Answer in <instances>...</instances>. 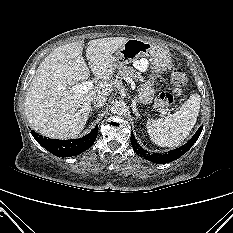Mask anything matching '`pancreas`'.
Masks as SVG:
<instances>
[{
	"label": "pancreas",
	"mask_w": 233,
	"mask_h": 233,
	"mask_svg": "<svg viewBox=\"0 0 233 233\" xmlns=\"http://www.w3.org/2000/svg\"><path fill=\"white\" fill-rule=\"evenodd\" d=\"M124 76H129L133 78L135 81L142 80L141 74L138 71L134 70L132 67L128 66L119 68L116 78L122 79Z\"/></svg>",
	"instance_id": "1"
}]
</instances>
